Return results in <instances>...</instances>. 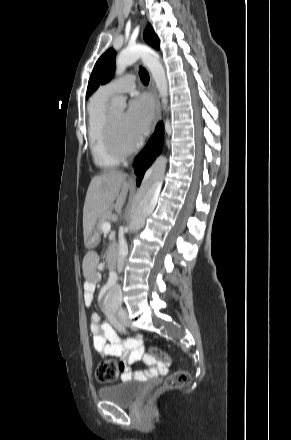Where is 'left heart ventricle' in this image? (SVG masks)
<instances>
[{"label":"left heart ventricle","mask_w":291,"mask_h":440,"mask_svg":"<svg viewBox=\"0 0 291 440\" xmlns=\"http://www.w3.org/2000/svg\"><path fill=\"white\" fill-rule=\"evenodd\" d=\"M111 121L113 124L116 140L119 144L123 146H128L134 142L128 137L125 124H124V113L116 112L110 114Z\"/></svg>","instance_id":"obj_1"}]
</instances>
